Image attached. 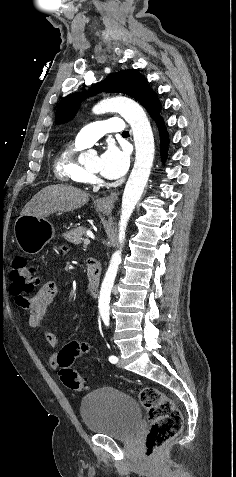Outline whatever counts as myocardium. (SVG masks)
<instances>
[{
    "instance_id": "f54148a6",
    "label": "myocardium",
    "mask_w": 236,
    "mask_h": 477,
    "mask_svg": "<svg viewBox=\"0 0 236 477\" xmlns=\"http://www.w3.org/2000/svg\"><path fill=\"white\" fill-rule=\"evenodd\" d=\"M88 175L91 177V179H97L98 178V172L91 170L89 167L85 168Z\"/></svg>"
}]
</instances>
